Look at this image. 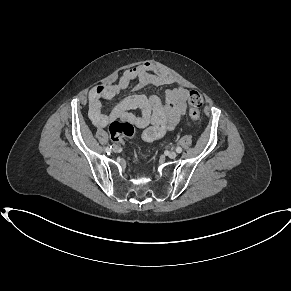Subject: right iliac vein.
Returning a JSON list of instances; mask_svg holds the SVG:
<instances>
[{
	"mask_svg": "<svg viewBox=\"0 0 291 291\" xmlns=\"http://www.w3.org/2000/svg\"><path fill=\"white\" fill-rule=\"evenodd\" d=\"M113 151L117 153V152L120 151V148L117 145H114L113 146Z\"/></svg>",
	"mask_w": 291,
	"mask_h": 291,
	"instance_id": "1",
	"label": "right iliac vein"
}]
</instances>
